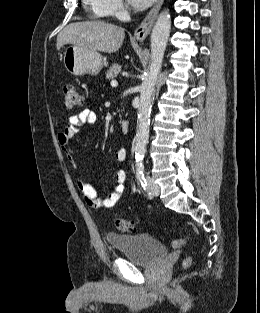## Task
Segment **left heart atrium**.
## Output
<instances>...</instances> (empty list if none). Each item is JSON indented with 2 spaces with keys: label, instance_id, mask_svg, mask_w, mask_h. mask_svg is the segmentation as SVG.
Wrapping results in <instances>:
<instances>
[{
  "label": "left heart atrium",
  "instance_id": "left-heart-atrium-1",
  "mask_svg": "<svg viewBox=\"0 0 260 313\" xmlns=\"http://www.w3.org/2000/svg\"><path fill=\"white\" fill-rule=\"evenodd\" d=\"M130 4L137 10H143L149 7L154 0H128Z\"/></svg>",
  "mask_w": 260,
  "mask_h": 313
}]
</instances>
